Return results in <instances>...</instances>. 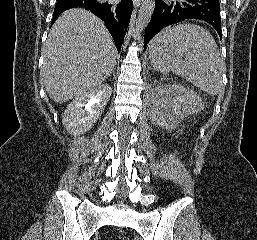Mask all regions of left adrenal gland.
<instances>
[{
  "instance_id": "left-adrenal-gland-1",
  "label": "left adrenal gland",
  "mask_w": 257,
  "mask_h": 240,
  "mask_svg": "<svg viewBox=\"0 0 257 240\" xmlns=\"http://www.w3.org/2000/svg\"><path fill=\"white\" fill-rule=\"evenodd\" d=\"M148 69H151V67H150V66H148Z\"/></svg>"
}]
</instances>
